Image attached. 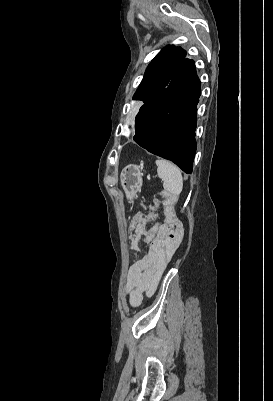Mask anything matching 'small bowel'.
Segmentation results:
<instances>
[{
    "label": "small bowel",
    "instance_id": "small-bowel-1",
    "mask_svg": "<svg viewBox=\"0 0 273 401\" xmlns=\"http://www.w3.org/2000/svg\"><path fill=\"white\" fill-rule=\"evenodd\" d=\"M129 221L131 249L136 250L141 243L148 246L143 256L130 266L124 287L129 304L137 307L144 296L154 294L179 241H153L154 229L163 226L153 222L151 228L145 230L146 223L152 221L150 216L131 215Z\"/></svg>",
    "mask_w": 273,
    "mask_h": 401
}]
</instances>
